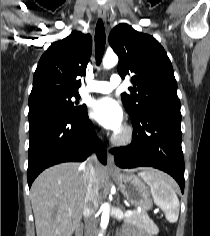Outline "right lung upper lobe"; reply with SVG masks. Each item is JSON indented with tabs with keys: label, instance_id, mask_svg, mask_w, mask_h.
<instances>
[{
	"label": "right lung upper lobe",
	"instance_id": "right-lung-upper-lobe-1",
	"mask_svg": "<svg viewBox=\"0 0 210 236\" xmlns=\"http://www.w3.org/2000/svg\"><path fill=\"white\" fill-rule=\"evenodd\" d=\"M91 49V36L78 31L52 43L39 60L29 101L47 92L78 94Z\"/></svg>",
	"mask_w": 210,
	"mask_h": 236
}]
</instances>
